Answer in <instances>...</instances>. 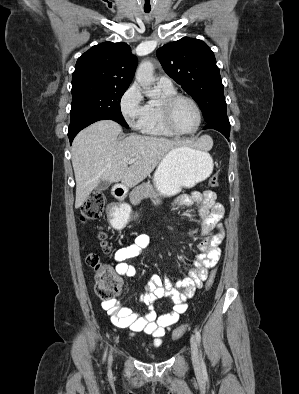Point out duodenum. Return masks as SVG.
I'll use <instances>...</instances> for the list:
<instances>
[{
  "label": "duodenum",
  "mask_w": 299,
  "mask_h": 394,
  "mask_svg": "<svg viewBox=\"0 0 299 394\" xmlns=\"http://www.w3.org/2000/svg\"><path fill=\"white\" fill-rule=\"evenodd\" d=\"M125 192H126L125 186L122 185V184H119V185H117V187H116V189H115V196L120 197V196H122ZM110 218H111L112 220H115V219H116V213H115L114 209H112V208L110 209Z\"/></svg>",
  "instance_id": "duodenum-1"
}]
</instances>
